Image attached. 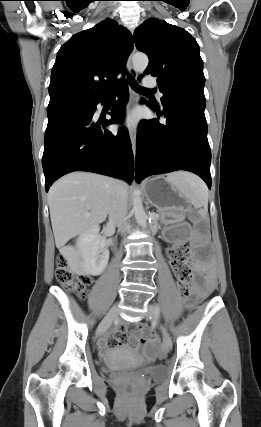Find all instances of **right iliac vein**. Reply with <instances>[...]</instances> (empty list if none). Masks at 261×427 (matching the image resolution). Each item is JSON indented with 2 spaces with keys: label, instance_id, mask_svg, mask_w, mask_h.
<instances>
[{
  "label": "right iliac vein",
  "instance_id": "obj_1",
  "mask_svg": "<svg viewBox=\"0 0 261 427\" xmlns=\"http://www.w3.org/2000/svg\"><path fill=\"white\" fill-rule=\"evenodd\" d=\"M118 307L117 305L113 306L105 318L102 320L97 329V336H101L112 324L113 320L117 317Z\"/></svg>",
  "mask_w": 261,
  "mask_h": 427
}]
</instances>
